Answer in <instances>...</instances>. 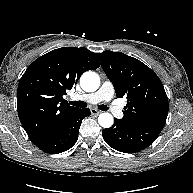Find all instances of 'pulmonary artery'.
Returning a JSON list of instances; mask_svg holds the SVG:
<instances>
[{"label": "pulmonary artery", "instance_id": "obj_1", "mask_svg": "<svg viewBox=\"0 0 193 193\" xmlns=\"http://www.w3.org/2000/svg\"><path fill=\"white\" fill-rule=\"evenodd\" d=\"M113 95H114V87L112 83L109 81H105L101 85L99 90H97L96 92L82 95L79 98L88 103L95 104L101 101L109 102L113 98ZM109 107H110L112 114L115 117L121 118L123 116V112L120 109V107L114 104H111Z\"/></svg>", "mask_w": 193, "mask_h": 193}]
</instances>
